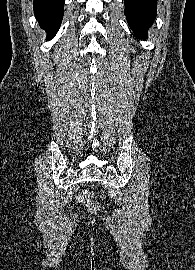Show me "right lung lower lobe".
<instances>
[{
  "label": "right lung lower lobe",
  "mask_w": 195,
  "mask_h": 270,
  "mask_svg": "<svg viewBox=\"0 0 195 270\" xmlns=\"http://www.w3.org/2000/svg\"><path fill=\"white\" fill-rule=\"evenodd\" d=\"M64 0H34V13L41 28L48 32L47 40L58 31L63 16Z\"/></svg>",
  "instance_id": "obj_1"
}]
</instances>
